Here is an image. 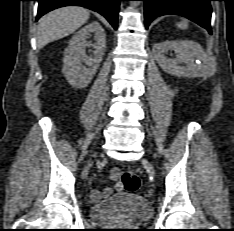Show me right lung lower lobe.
Here are the masks:
<instances>
[{"mask_svg":"<svg viewBox=\"0 0 234 231\" xmlns=\"http://www.w3.org/2000/svg\"><path fill=\"white\" fill-rule=\"evenodd\" d=\"M39 1L36 21L44 14L63 6H83L102 14L114 27L117 28L119 3L122 0H37Z\"/></svg>","mask_w":234,"mask_h":231,"instance_id":"right-lung-lower-lobe-1","label":"right lung lower lobe"}]
</instances>
